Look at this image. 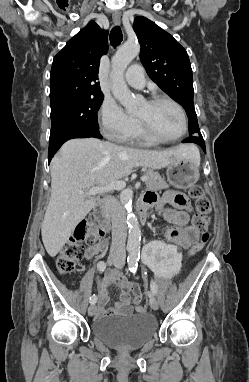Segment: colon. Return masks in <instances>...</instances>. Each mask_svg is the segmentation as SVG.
<instances>
[{"instance_id": "obj_1", "label": "colon", "mask_w": 249, "mask_h": 382, "mask_svg": "<svg viewBox=\"0 0 249 382\" xmlns=\"http://www.w3.org/2000/svg\"><path fill=\"white\" fill-rule=\"evenodd\" d=\"M189 196L195 201L194 225L201 233V237L190 248L189 254L194 256L204 248L210 238L209 226L211 223V203L205 196L202 187L198 185L191 186ZM102 235L100 227L95 223L92 217L81 220L73 236L62 246L57 256V269L61 274H71L74 272L76 265L85 256V248L83 242L95 243ZM136 309L144 312L146 306L142 304L140 294L134 295Z\"/></svg>"}]
</instances>
